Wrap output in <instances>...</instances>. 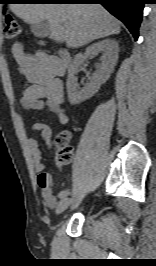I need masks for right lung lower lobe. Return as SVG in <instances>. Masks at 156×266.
I'll return each instance as SVG.
<instances>
[{
	"label": "right lung lower lobe",
	"mask_w": 156,
	"mask_h": 266,
	"mask_svg": "<svg viewBox=\"0 0 156 266\" xmlns=\"http://www.w3.org/2000/svg\"><path fill=\"white\" fill-rule=\"evenodd\" d=\"M147 0H44L43 4H102L111 14L121 20L134 39H138L144 4Z\"/></svg>",
	"instance_id": "right-lung-lower-lobe-1"
}]
</instances>
